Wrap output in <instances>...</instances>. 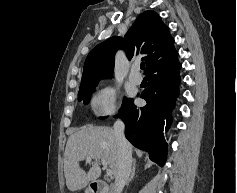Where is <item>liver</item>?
Wrapping results in <instances>:
<instances>
[{
	"instance_id": "liver-1",
	"label": "liver",
	"mask_w": 237,
	"mask_h": 193,
	"mask_svg": "<svg viewBox=\"0 0 237 193\" xmlns=\"http://www.w3.org/2000/svg\"><path fill=\"white\" fill-rule=\"evenodd\" d=\"M90 156L94 159L86 173L79 162ZM104 159L116 176L118 170V147L114 130L107 126L85 125L68 138L64 153L66 185L72 192L81 190L101 175L98 160Z\"/></svg>"
}]
</instances>
